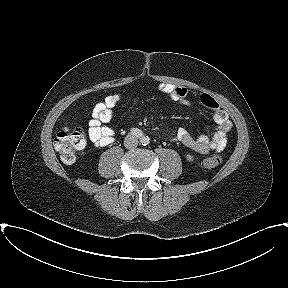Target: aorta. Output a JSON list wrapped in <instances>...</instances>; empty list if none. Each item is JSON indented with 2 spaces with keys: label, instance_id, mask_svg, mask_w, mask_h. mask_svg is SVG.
<instances>
[{
  "label": "aorta",
  "instance_id": "aorta-1",
  "mask_svg": "<svg viewBox=\"0 0 288 288\" xmlns=\"http://www.w3.org/2000/svg\"><path fill=\"white\" fill-rule=\"evenodd\" d=\"M148 141H149V139H147V138H144V139H142V143H148Z\"/></svg>",
  "mask_w": 288,
  "mask_h": 288
}]
</instances>
